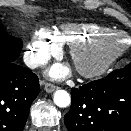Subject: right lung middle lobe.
Returning <instances> with one entry per match:
<instances>
[{
    "label": "right lung middle lobe",
    "instance_id": "dd1d6c3e",
    "mask_svg": "<svg viewBox=\"0 0 131 131\" xmlns=\"http://www.w3.org/2000/svg\"><path fill=\"white\" fill-rule=\"evenodd\" d=\"M23 42L7 34L0 21V58L14 61L18 58Z\"/></svg>",
    "mask_w": 131,
    "mask_h": 131
}]
</instances>
